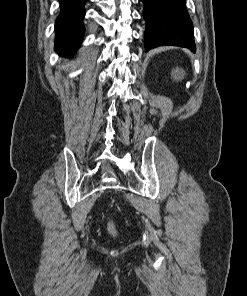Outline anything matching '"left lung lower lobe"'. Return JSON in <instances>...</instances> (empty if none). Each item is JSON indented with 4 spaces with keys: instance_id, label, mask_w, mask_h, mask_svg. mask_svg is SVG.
I'll list each match as a JSON object with an SVG mask.
<instances>
[{
    "instance_id": "obj_1",
    "label": "left lung lower lobe",
    "mask_w": 247,
    "mask_h": 296,
    "mask_svg": "<svg viewBox=\"0 0 247 296\" xmlns=\"http://www.w3.org/2000/svg\"><path fill=\"white\" fill-rule=\"evenodd\" d=\"M146 21L145 51L160 46L174 45L195 52L193 24L185 0H141Z\"/></svg>"
}]
</instances>
